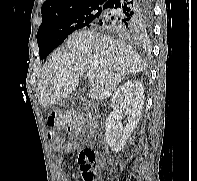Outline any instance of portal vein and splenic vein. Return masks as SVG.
I'll list each match as a JSON object with an SVG mask.
<instances>
[{"mask_svg": "<svg viewBox=\"0 0 197 181\" xmlns=\"http://www.w3.org/2000/svg\"><path fill=\"white\" fill-rule=\"evenodd\" d=\"M86 76L89 79V81H92L95 78V73L88 72Z\"/></svg>", "mask_w": 197, "mask_h": 181, "instance_id": "portal-vein-and-splenic-vein-1", "label": "portal vein and splenic vein"}]
</instances>
